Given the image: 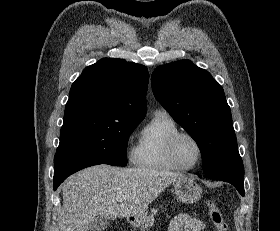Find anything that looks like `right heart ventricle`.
<instances>
[{"label":"right heart ventricle","instance_id":"right-heart-ventricle-1","mask_svg":"<svg viewBox=\"0 0 280 231\" xmlns=\"http://www.w3.org/2000/svg\"><path fill=\"white\" fill-rule=\"evenodd\" d=\"M180 128L175 119L165 111H157L139 134L135 148V164L139 167L176 170L166 156L169 137Z\"/></svg>","mask_w":280,"mask_h":231}]
</instances>
